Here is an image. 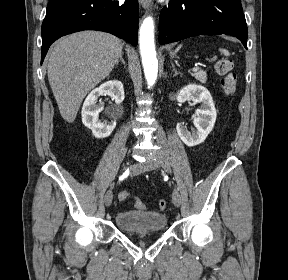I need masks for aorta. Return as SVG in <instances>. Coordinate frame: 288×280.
<instances>
[{
  "mask_svg": "<svg viewBox=\"0 0 288 280\" xmlns=\"http://www.w3.org/2000/svg\"><path fill=\"white\" fill-rule=\"evenodd\" d=\"M140 53L148 87H152L157 79L158 61L154 43V21L146 17L139 31Z\"/></svg>",
  "mask_w": 288,
  "mask_h": 280,
  "instance_id": "aorta-1",
  "label": "aorta"
}]
</instances>
